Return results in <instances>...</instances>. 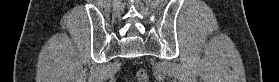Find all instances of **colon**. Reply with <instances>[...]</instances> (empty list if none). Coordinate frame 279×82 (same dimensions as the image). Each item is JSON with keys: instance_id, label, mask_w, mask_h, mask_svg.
<instances>
[{"instance_id": "colon-1", "label": "colon", "mask_w": 279, "mask_h": 82, "mask_svg": "<svg viewBox=\"0 0 279 82\" xmlns=\"http://www.w3.org/2000/svg\"><path fill=\"white\" fill-rule=\"evenodd\" d=\"M136 78L138 82H148V74L145 70L141 69L137 72Z\"/></svg>"}]
</instances>
